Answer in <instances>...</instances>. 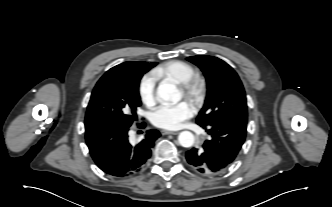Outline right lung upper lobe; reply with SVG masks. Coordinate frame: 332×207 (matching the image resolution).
<instances>
[{
  "label": "right lung upper lobe",
  "mask_w": 332,
  "mask_h": 207,
  "mask_svg": "<svg viewBox=\"0 0 332 207\" xmlns=\"http://www.w3.org/2000/svg\"><path fill=\"white\" fill-rule=\"evenodd\" d=\"M140 62V61H139ZM129 63H131V62H124V63H122V64H120V65H117V66H123V65H126V64H129ZM142 63H145V64H152V63H146V62H142Z\"/></svg>",
  "instance_id": "1"
}]
</instances>
